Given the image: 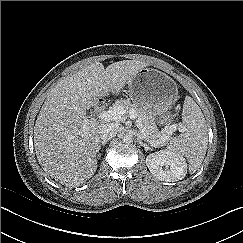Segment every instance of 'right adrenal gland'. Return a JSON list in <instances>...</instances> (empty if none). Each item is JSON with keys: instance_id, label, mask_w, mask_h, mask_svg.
Listing matches in <instances>:
<instances>
[{"instance_id": "1", "label": "right adrenal gland", "mask_w": 243, "mask_h": 243, "mask_svg": "<svg viewBox=\"0 0 243 243\" xmlns=\"http://www.w3.org/2000/svg\"><path fill=\"white\" fill-rule=\"evenodd\" d=\"M106 143H107V141H101L99 143V145H98V152H99V150L101 149L102 146H105L106 145ZM98 156H101V153H99Z\"/></svg>"}]
</instances>
